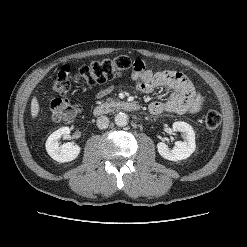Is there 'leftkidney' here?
Masks as SVG:
<instances>
[{
  "instance_id": "1",
  "label": "left kidney",
  "mask_w": 247,
  "mask_h": 247,
  "mask_svg": "<svg viewBox=\"0 0 247 247\" xmlns=\"http://www.w3.org/2000/svg\"><path fill=\"white\" fill-rule=\"evenodd\" d=\"M173 130L184 134V141H176L175 146L170 149L163 142L157 144L159 154L170 161H178L188 158L196 148L195 133L191 125L183 121L174 122Z\"/></svg>"
}]
</instances>
